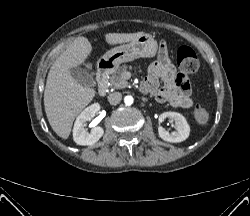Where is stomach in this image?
<instances>
[{
	"mask_svg": "<svg viewBox=\"0 0 250 216\" xmlns=\"http://www.w3.org/2000/svg\"><path fill=\"white\" fill-rule=\"evenodd\" d=\"M157 42L149 34L107 51L103 60L113 68L121 63L133 61L138 58H153L157 54Z\"/></svg>",
	"mask_w": 250,
	"mask_h": 216,
	"instance_id": "stomach-1",
	"label": "stomach"
}]
</instances>
